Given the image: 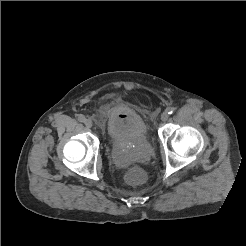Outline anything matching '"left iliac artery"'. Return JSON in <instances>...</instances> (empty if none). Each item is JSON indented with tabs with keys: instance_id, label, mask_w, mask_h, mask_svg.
Instances as JSON below:
<instances>
[{
	"instance_id": "1",
	"label": "left iliac artery",
	"mask_w": 246,
	"mask_h": 246,
	"mask_svg": "<svg viewBox=\"0 0 246 246\" xmlns=\"http://www.w3.org/2000/svg\"><path fill=\"white\" fill-rule=\"evenodd\" d=\"M166 111L168 112V114H172L174 112V108L173 107H168L166 109Z\"/></svg>"
}]
</instances>
